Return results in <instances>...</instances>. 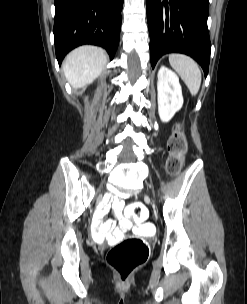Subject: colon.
Here are the masks:
<instances>
[{
    "mask_svg": "<svg viewBox=\"0 0 247 304\" xmlns=\"http://www.w3.org/2000/svg\"><path fill=\"white\" fill-rule=\"evenodd\" d=\"M169 157L167 169L170 174H177L184 162L186 140L182 129L178 126L169 140ZM146 202H130L127 207L128 217L132 225H141L134 228L137 235L130 236L123 242L113 246L107 254V262L119 275L122 285H126L132 272L142 265L150 253V246L144 238H158L154 224H144L149 212Z\"/></svg>",
    "mask_w": 247,
    "mask_h": 304,
    "instance_id": "1",
    "label": "colon"
}]
</instances>
